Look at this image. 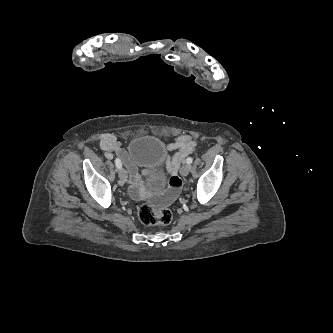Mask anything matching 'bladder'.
Segmentation results:
<instances>
[{
    "label": "bladder",
    "instance_id": "obj_1",
    "mask_svg": "<svg viewBox=\"0 0 333 333\" xmlns=\"http://www.w3.org/2000/svg\"><path fill=\"white\" fill-rule=\"evenodd\" d=\"M166 147L163 141L153 135L135 136L128 144L127 155L136 165L143 168H155L160 166L166 157ZM166 179L161 176L152 178V186L155 189L162 188Z\"/></svg>",
    "mask_w": 333,
    "mask_h": 333
}]
</instances>
